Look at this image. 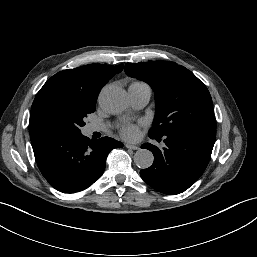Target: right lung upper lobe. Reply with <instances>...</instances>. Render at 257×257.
<instances>
[{
    "instance_id": "1",
    "label": "right lung upper lobe",
    "mask_w": 257,
    "mask_h": 257,
    "mask_svg": "<svg viewBox=\"0 0 257 257\" xmlns=\"http://www.w3.org/2000/svg\"><path fill=\"white\" fill-rule=\"evenodd\" d=\"M123 69V64L117 66L90 64L75 69L61 71L52 76L42 88L51 85L62 86L80 94L83 98L95 101L101 88ZM35 133L30 132L31 140Z\"/></svg>"
}]
</instances>
